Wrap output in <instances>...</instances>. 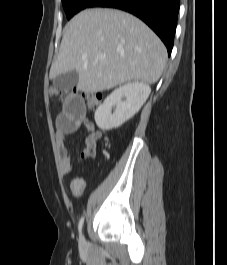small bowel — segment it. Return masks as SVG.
<instances>
[{
  "instance_id": "obj_1",
  "label": "small bowel",
  "mask_w": 227,
  "mask_h": 265,
  "mask_svg": "<svg viewBox=\"0 0 227 265\" xmlns=\"http://www.w3.org/2000/svg\"><path fill=\"white\" fill-rule=\"evenodd\" d=\"M62 99L63 111L56 120L57 141L59 143L62 171L64 175L71 172L73 160L64 142L67 136L76 132L83 126L88 134L85 139V148L79 155L82 160L94 159L97 155V142L102 137V133L95 128V125L86 117L87 105L84 96H80V91H73V87H66L63 91ZM86 180L82 176H77L71 180L70 190L74 197H80L85 190Z\"/></svg>"
}]
</instances>
